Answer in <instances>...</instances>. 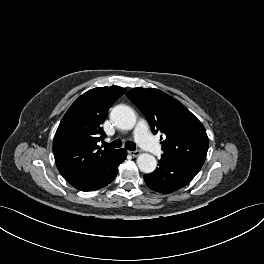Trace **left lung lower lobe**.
I'll return each instance as SVG.
<instances>
[{"label":"left lung lower lobe","mask_w":264,"mask_h":264,"mask_svg":"<svg viewBox=\"0 0 264 264\" xmlns=\"http://www.w3.org/2000/svg\"><path fill=\"white\" fill-rule=\"evenodd\" d=\"M159 167L144 175L146 185L160 193H171L188 184L199 172L200 167L190 161L162 155Z\"/></svg>","instance_id":"left-lung-lower-lobe-1"}]
</instances>
